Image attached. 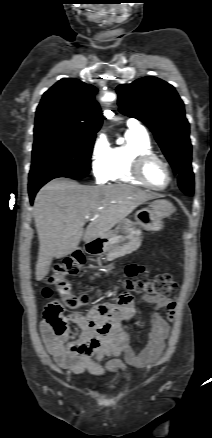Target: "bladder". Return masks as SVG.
Segmentation results:
<instances>
[{
	"label": "bladder",
	"mask_w": 212,
	"mask_h": 438,
	"mask_svg": "<svg viewBox=\"0 0 212 438\" xmlns=\"http://www.w3.org/2000/svg\"><path fill=\"white\" fill-rule=\"evenodd\" d=\"M115 386H116V385H115L114 382H111V383L108 384V387H109V388H114Z\"/></svg>",
	"instance_id": "31cf9c89"
}]
</instances>
